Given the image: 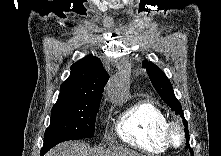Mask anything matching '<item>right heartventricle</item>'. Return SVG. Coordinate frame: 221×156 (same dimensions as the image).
<instances>
[{
  "mask_svg": "<svg viewBox=\"0 0 221 156\" xmlns=\"http://www.w3.org/2000/svg\"><path fill=\"white\" fill-rule=\"evenodd\" d=\"M169 118L151 101H139L118 118L115 130L128 145L149 154H161L169 145L165 139Z\"/></svg>",
  "mask_w": 221,
  "mask_h": 156,
  "instance_id": "obj_1",
  "label": "right heart ventricle"
}]
</instances>
